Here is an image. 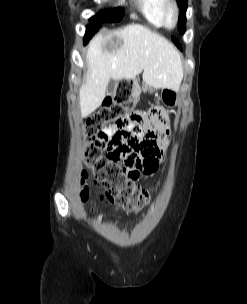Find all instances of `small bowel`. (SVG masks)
<instances>
[{"instance_id": "1", "label": "small bowel", "mask_w": 247, "mask_h": 304, "mask_svg": "<svg viewBox=\"0 0 247 304\" xmlns=\"http://www.w3.org/2000/svg\"><path fill=\"white\" fill-rule=\"evenodd\" d=\"M126 117L157 120L121 119L106 127L99 141L105 148L106 162L121 165L125 173L136 181L141 173L149 175L155 172L159 161L165 158L168 141L158 137L157 132L170 134V123L161 107L150 108V112H127ZM145 159H154L155 162L149 165ZM81 173L83 177H88L85 170Z\"/></svg>"}]
</instances>
